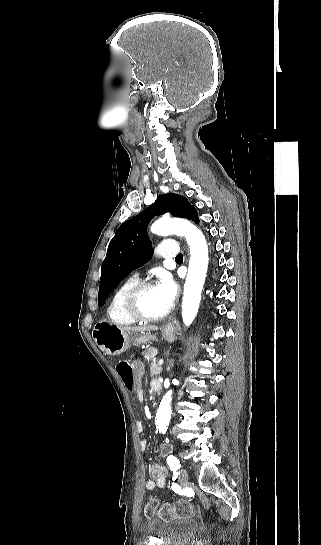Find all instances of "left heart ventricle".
Returning <instances> with one entry per match:
<instances>
[{
  "mask_svg": "<svg viewBox=\"0 0 321 545\" xmlns=\"http://www.w3.org/2000/svg\"><path fill=\"white\" fill-rule=\"evenodd\" d=\"M137 309L145 315H158L169 310L164 297L156 287L143 292L137 299Z\"/></svg>",
  "mask_w": 321,
  "mask_h": 545,
  "instance_id": "b2bd125f",
  "label": "left heart ventricle"
}]
</instances>
